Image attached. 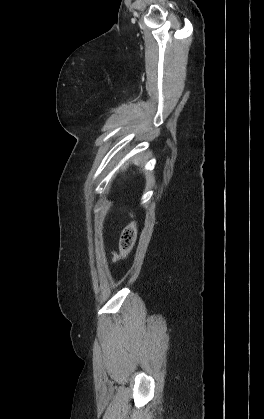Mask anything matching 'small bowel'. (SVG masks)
Returning a JSON list of instances; mask_svg holds the SVG:
<instances>
[{
    "label": "small bowel",
    "instance_id": "obj_1",
    "mask_svg": "<svg viewBox=\"0 0 264 419\" xmlns=\"http://www.w3.org/2000/svg\"><path fill=\"white\" fill-rule=\"evenodd\" d=\"M113 260L117 261L118 260V255L116 253H113Z\"/></svg>",
    "mask_w": 264,
    "mask_h": 419
}]
</instances>
